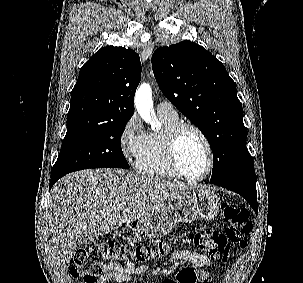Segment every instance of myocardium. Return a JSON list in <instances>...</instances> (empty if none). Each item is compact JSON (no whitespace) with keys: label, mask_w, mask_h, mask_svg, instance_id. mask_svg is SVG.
<instances>
[{"label":"myocardium","mask_w":303,"mask_h":283,"mask_svg":"<svg viewBox=\"0 0 303 283\" xmlns=\"http://www.w3.org/2000/svg\"><path fill=\"white\" fill-rule=\"evenodd\" d=\"M185 130L194 131L202 140L208 155V163L204 173L199 177H190L186 175L178 160V143L182 133ZM165 149L168 163L174 173L181 179L189 182H199L204 180L212 170L214 163V154L212 145L206 134L195 124L189 122H178L173 125L165 134Z\"/></svg>","instance_id":"myocardium-1"}]
</instances>
